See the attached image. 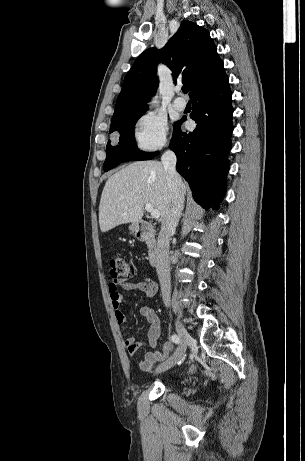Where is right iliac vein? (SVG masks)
Listing matches in <instances>:
<instances>
[{
    "label": "right iliac vein",
    "mask_w": 305,
    "mask_h": 461,
    "mask_svg": "<svg viewBox=\"0 0 305 461\" xmlns=\"http://www.w3.org/2000/svg\"><path fill=\"white\" fill-rule=\"evenodd\" d=\"M175 325L176 331L180 338V345L176 352L168 360H166L164 363L158 366V368L156 369V373L164 372L175 366L177 363L181 362L184 359L187 345L192 339L190 334L187 332V330L184 328V326L179 320L175 321Z\"/></svg>",
    "instance_id": "63e3f726"
}]
</instances>
